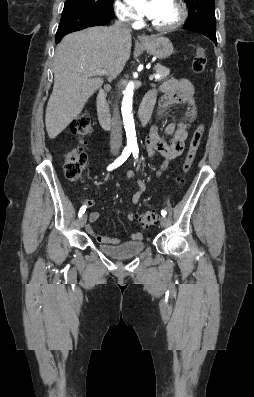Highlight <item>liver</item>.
<instances>
[{"mask_svg": "<svg viewBox=\"0 0 254 397\" xmlns=\"http://www.w3.org/2000/svg\"><path fill=\"white\" fill-rule=\"evenodd\" d=\"M131 53V37L120 40L113 27H91L66 35L54 57V86L45 124L50 139L56 138L82 111L102 86L92 72L103 69L111 77L122 71Z\"/></svg>", "mask_w": 254, "mask_h": 397, "instance_id": "liver-1", "label": "liver"}]
</instances>
